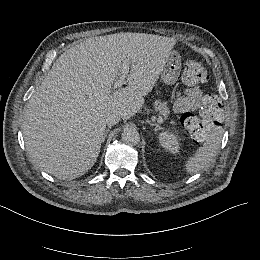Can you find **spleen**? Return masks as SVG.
<instances>
[{"label": "spleen", "mask_w": 260, "mask_h": 260, "mask_svg": "<svg viewBox=\"0 0 260 260\" xmlns=\"http://www.w3.org/2000/svg\"><path fill=\"white\" fill-rule=\"evenodd\" d=\"M223 135V127L221 125L214 126L210 130L205 142L198 147L192 156L186 158L183 170L187 174H196L199 171L207 170L209 163L212 162L220 147Z\"/></svg>", "instance_id": "spleen-1"}]
</instances>
